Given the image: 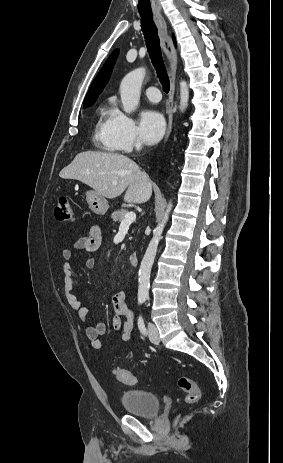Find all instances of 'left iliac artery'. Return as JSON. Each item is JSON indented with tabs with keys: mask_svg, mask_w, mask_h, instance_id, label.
<instances>
[{
	"mask_svg": "<svg viewBox=\"0 0 283 463\" xmlns=\"http://www.w3.org/2000/svg\"><path fill=\"white\" fill-rule=\"evenodd\" d=\"M138 328H139V330H140V332L142 334H144V335L147 334L145 324H144V320H143L142 316H139V318H138Z\"/></svg>",
	"mask_w": 283,
	"mask_h": 463,
	"instance_id": "44dca946",
	"label": "left iliac artery"
}]
</instances>
